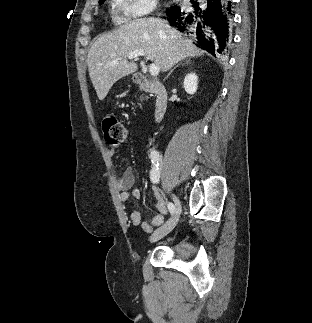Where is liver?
<instances>
[{
    "mask_svg": "<svg viewBox=\"0 0 312 323\" xmlns=\"http://www.w3.org/2000/svg\"><path fill=\"white\" fill-rule=\"evenodd\" d=\"M143 50L147 60L159 66L161 72L171 70L178 62L206 52L196 48L191 40L171 28L159 18H140L120 26L112 34L99 36L87 56L89 76L99 100L106 98L113 84L137 72L135 62H128V54ZM119 60L117 64H111Z\"/></svg>",
    "mask_w": 312,
    "mask_h": 323,
    "instance_id": "1",
    "label": "liver"
}]
</instances>
